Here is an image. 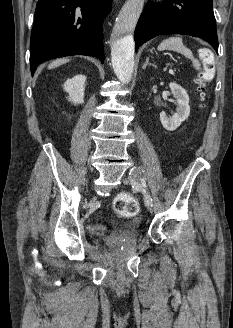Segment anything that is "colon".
Here are the masks:
<instances>
[{"mask_svg": "<svg viewBox=\"0 0 233 328\" xmlns=\"http://www.w3.org/2000/svg\"><path fill=\"white\" fill-rule=\"evenodd\" d=\"M200 57L202 60V70L197 76L196 90L199 97L203 98L205 96L206 86L214 76L215 63L213 54L208 50L201 51ZM113 208L120 216L133 217L139 212V203L133 196L123 193L116 197Z\"/></svg>", "mask_w": 233, "mask_h": 328, "instance_id": "5ec220e1", "label": "colon"}]
</instances>
